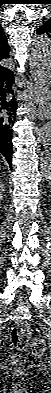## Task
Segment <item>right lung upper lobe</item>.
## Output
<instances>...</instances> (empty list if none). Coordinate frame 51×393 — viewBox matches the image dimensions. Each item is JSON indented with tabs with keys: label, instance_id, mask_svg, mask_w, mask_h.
Masks as SVG:
<instances>
[{
	"label": "right lung upper lobe",
	"instance_id": "right-lung-upper-lobe-1",
	"mask_svg": "<svg viewBox=\"0 0 51 393\" xmlns=\"http://www.w3.org/2000/svg\"><path fill=\"white\" fill-rule=\"evenodd\" d=\"M9 58V45L4 35L3 28L0 26V61ZM10 72L9 69L0 65V79Z\"/></svg>",
	"mask_w": 51,
	"mask_h": 393
}]
</instances>
